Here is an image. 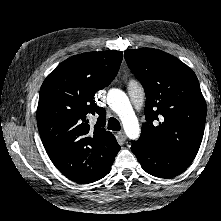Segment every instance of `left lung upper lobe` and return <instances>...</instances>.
Segmentation results:
<instances>
[{
	"instance_id": "5c2ea615",
	"label": "left lung upper lobe",
	"mask_w": 221,
	"mask_h": 221,
	"mask_svg": "<svg viewBox=\"0 0 221 221\" xmlns=\"http://www.w3.org/2000/svg\"><path fill=\"white\" fill-rule=\"evenodd\" d=\"M125 59L146 94V122L140 138L132 142L193 161L206 120V103L195 73L176 57L153 48L126 50Z\"/></svg>"
}]
</instances>
